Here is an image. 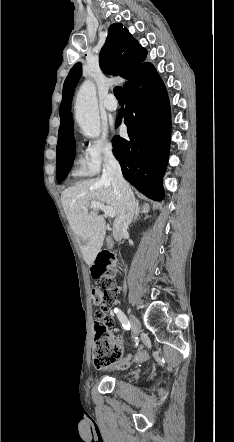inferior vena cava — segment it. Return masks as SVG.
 Masks as SVG:
<instances>
[{
	"label": "inferior vena cava",
	"mask_w": 234,
	"mask_h": 442,
	"mask_svg": "<svg viewBox=\"0 0 234 442\" xmlns=\"http://www.w3.org/2000/svg\"><path fill=\"white\" fill-rule=\"evenodd\" d=\"M102 178L111 181L119 197L120 211L114 221L113 236L115 240L121 241L133 219L136 202L129 184L122 175L120 164L111 150L105 154Z\"/></svg>",
	"instance_id": "602c4592"
}]
</instances>
